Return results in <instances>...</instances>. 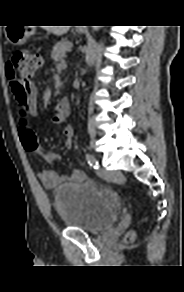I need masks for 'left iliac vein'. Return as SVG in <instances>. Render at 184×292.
Listing matches in <instances>:
<instances>
[{
	"mask_svg": "<svg viewBox=\"0 0 184 292\" xmlns=\"http://www.w3.org/2000/svg\"><path fill=\"white\" fill-rule=\"evenodd\" d=\"M97 174L103 178V179H106V180H111V179H114L116 176H117V173L114 172V171H109L105 168H100L97 170Z\"/></svg>",
	"mask_w": 184,
	"mask_h": 292,
	"instance_id": "4c4485c4",
	"label": "left iliac vein"
}]
</instances>
